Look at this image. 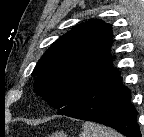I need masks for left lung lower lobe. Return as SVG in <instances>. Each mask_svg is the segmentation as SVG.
<instances>
[{"mask_svg":"<svg viewBox=\"0 0 144 137\" xmlns=\"http://www.w3.org/2000/svg\"><path fill=\"white\" fill-rule=\"evenodd\" d=\"M58 114L107 125L126 137H141L130 90L122 84L118 70Z\"/></svg>","mask_w":144,"mask_h":137,"instance_id":"1","label":"left lung lower lobe"}]
</instances>
